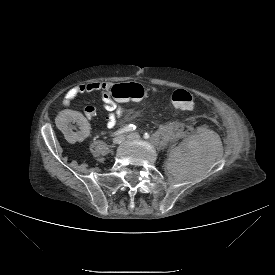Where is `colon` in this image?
<instances>
[{
    "instance_id": "obj_1",
    "label": "colon",
    "mask_w": 275,
    "mask_h": 275,
    "mask_svg": "<svg viewBox=\"0 0 275 275\" xmlns=\"http://www.w3.org/2000/svg\"><path fill=\"white\" fill-rule=\"evenodd\" d=\"M148 95L147 90L140 84H120L112 89V96L122 101L139 102ZM172 103L176 108L182 111H188L194 108L195 100L192 94L186 90H176L171 96Z\"/></svg>"
}]
</instances>
